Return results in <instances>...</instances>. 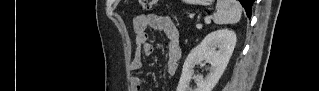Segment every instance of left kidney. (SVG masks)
<instances>
[{"mask_svg": "<svg viewBox=\"0 0 319 91\" xmlns=\"http://www.w3.org/2000/svg\"><path fill=\"white\" fill-rule=\"evenodd\" d=\"M235 45L236 34L232 30L221 29L209 33L187 56L177 91H212L228 65ZM204 60L211 64L210 71L205 78L199 76L196 88L192 89L189 83L194 67Z\"/></svg>", "mask_w": 319, "mask_h": 91, "instance_id": "obj_1", "label": "left kidney"}]
</instances>
